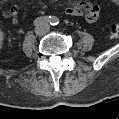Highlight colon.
<instances>
[{
	"label": "colon",
	"mask_w": 119,
	"mask_h": 119,
	"mask_svg": "<svg viewBox=\"0 0 119 119\" xmlns=\"http://www.w3.org/2000/svg\"><path fill=\"white\" fill-rule=\"evenodd\" d=\"M108 36L110 39H117L119 37V26L112 24L108 30Z\"/></svg>",
	"instance_id": "obj_1"
}]
</instances>
